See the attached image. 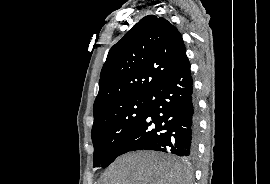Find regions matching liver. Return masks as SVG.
<instances>
[{"label": "liver", "mask_w": 270, "mask_h": 184, "mask_svg": "<svg viewBox=\"0 0 270 184\" xmlns=\"http://www.w3.org/2000/svg\"><path fill=\"white\" fill-rule=\"evenodd\" d=\"M185 164L150 151L118 157L103 173L100 184H189Z\"/></svg>", "instance_id": "6515ba94"}]
</instances>
